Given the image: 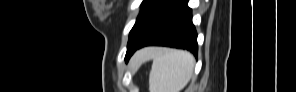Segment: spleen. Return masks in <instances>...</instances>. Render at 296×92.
Segmentation results:
<instances>
[{"instance_id":"3e777b00","label":"spleen","mask_w":296,"mask_h":92,"mask_svg":"<svg viewBox=\"0 0 296 92\" xmlns=\"http://www.w3.org/2000/svg\"><path fill=\"white\" fill-rule=\"evenodd\" d=\"M141 57L153 59L150 92H180L193 75L195 59L186 51L156 48Z\"/></svg>"}]
</instances>
